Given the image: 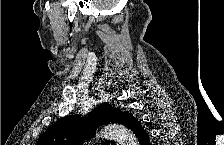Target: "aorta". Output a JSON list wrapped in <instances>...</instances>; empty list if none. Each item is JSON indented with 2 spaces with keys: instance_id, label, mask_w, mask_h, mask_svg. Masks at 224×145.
Here are the masks:
<instances>
[{
  "instance_id": "aorta-1",
  "label": "aorta",
  "mask_w": 224,
  "mask_h": 145,
  "mask_svg": "<svg viewBox=\"0 0 224 145\" xmlns=\"http://www.w3.org/2000/svg\"><path fill=\"white\" fill-rule=\"evenodd\" d=\"M100 135L107 139L113 140L120 145H137V139L134 134L123 125L109 124L100 131Z\"/></svg>"
}]
</instances>
